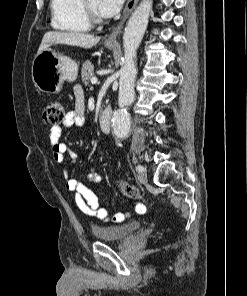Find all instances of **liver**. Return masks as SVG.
<instances>
[{"instance_id": "liver-1", "label": "liver", "mask_w": 247, "mask_h": 296, "mask_svg": "<svg viewBox=\"0 0 247 296\" xmlns=\"http://www.w3.org/2000/svg\"><path fill=\"white\" fill-rule=\"evenodd\" d=\"M100 41V37L86 33L49 31L42 39L38 53L53 44H65L90 49Z\"/></svg>"}]
</instances>
